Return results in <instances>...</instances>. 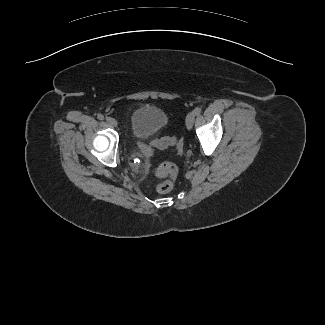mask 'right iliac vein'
Returning a JSON list of instances; mask_svg holds the SVG:
<instances>
[{"label":"right iliac vein","mask_w":325,"mask_h":325,"mask_svg":"<svg viewBox=\"0 0 325 325\" xmlns=\"http://www.w3.org/2000/svg\"><path fill=\"white\" fill-rule=\"evenodd\" d=\"M106 122L112 127H117V121L112 117H106Z\"/></svg>","instance_id":"right-iliac-vein-1"}]
</instances>
